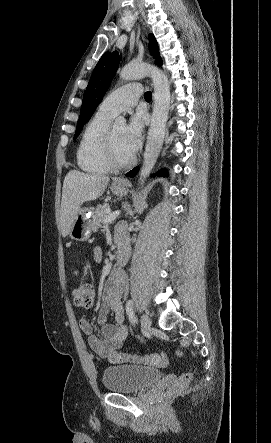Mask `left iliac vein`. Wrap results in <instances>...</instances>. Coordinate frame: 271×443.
<instances>
[{
    "label": "left iliac vein",
    "instance_id": "obj_1",
    "mask_svg": "<svg viewBox=\"0 0 271 443\" xmlns=\"http://www.w3.org/2000/svg\"><path fill=\"white\" fill-rule=\"evenodd\" d=\"M140 321L143 330L149 331L151 328V319L149 318V316L147 314H143Z\"/></svg>",
    "mask_w": 271,
    "mask_h": 443
}]
</instances>
